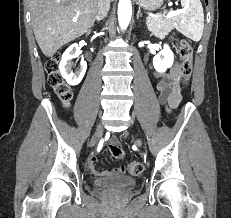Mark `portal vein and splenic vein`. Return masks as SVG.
<instances>
[{
    "label": "portal vein and splenic vein",
    "instance_id": "obj_1",
    "mask_svg": "<svg viewBox=\"0 0 231 218\" xmlns=\"http://www.w3.org/2000/svg\"><path fill=\"white\" fill-rule=\"evenodd\" d=\"M181 12V10H171L168 12L167 14V17L170 18V17H173L177 14H179ZM77 21V18H73V22H76Z\"/></svg>",
    "mask_w": 231,
    "mask_h": 218
}]
</instances>
